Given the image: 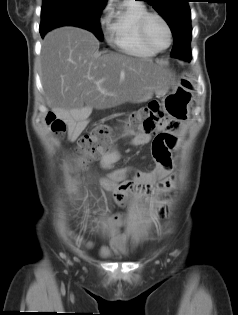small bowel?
<instances>
[{
	"label": "small bowel",
	"instance_id": "small-bowel-1",
	"mask_svg": "<svg viewBox=\"0 0 238 315\" xmlns=\"http://www.w3.org/2000/svg\"><path fill=\"white\" fill-rule=\"evenodd\" d=\"M85 126L84 120L73 121L69 124V137L71 140L83 130ZM172 128V124L167 125ZM148 143L152 147V152L157 167L151 172H141L133 167L127 166L123 168H114L115 162L121 158V151L114 149L105 152L101 159V166L108 170V174L102 179V183L114 190L116 200L126 205L129 202V197L132 193L146 194L154 189H162L170 187L173 183V177L163 181L160 179L167 176L168 172L174 165V157L171 155V150L174 147H180V140H173L167 133H160L156 137L150 134L142 133L135 135L129 142L130 146H141ZM130 223L129 218L125 214H118L114 217L109 228V236L111 239L110 245L101 250L103 256H110L112 253H126L130 249V245L125 235L120 231V228ZM146 235L143 232H136L133 236L132 246L138 244ZM77 243L83 244L84 241L80 237H75ZM90 245V244H88Z\"/></svg>",
	"mask_w": 238,
	"mask_h": 315
}]
</instances>
